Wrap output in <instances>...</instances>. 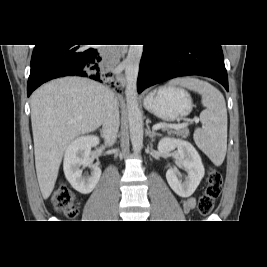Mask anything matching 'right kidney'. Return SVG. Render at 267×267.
I'll list each match as a JSON object with an SVG mask.
<instances>
[{
	"mask_svg": "<svg viewBox=\"0 0 267 267\" xmlns=\"http://www.w3.org/2000/svg\"><path fill=\"white\" fill-rule=\"evenodd\" d=\"M98 144L97 136H82L71 142L65 151L63 162L65 177L72 187L82 194L92 192L101 176V169L93 165L90 158L91 148ZM81 166L91 168V175L83 176Z\"/></svg>",
	"mask_w": 267,
	"mask_h": 267,
	"instance_id": "ca27d5eb",
	"label": "right kidney"
}]
</instances>
